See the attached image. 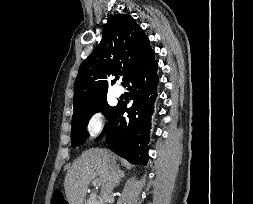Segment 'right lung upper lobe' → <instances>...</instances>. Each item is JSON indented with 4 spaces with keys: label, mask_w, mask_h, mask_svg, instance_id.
<instances>
[{
    "label": "right lung upper lobe",
    "mask_w": 253,
    "mask_h": 204,
    "mask_svg": "<svg viewBox=\"0 0 253 204\" xmlns=\"http://www.w3.org/2000/svg\"><path fill=\"white\" fill-rule=\"evenodd\" d=\"M151 50L149 39L132 16H111L102 40L80 65L74 84V110L106 96L108 77L122 73L124 84Z\"/></svg>",
    "instance_id": "1"
}]
</instances>
